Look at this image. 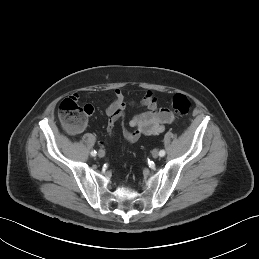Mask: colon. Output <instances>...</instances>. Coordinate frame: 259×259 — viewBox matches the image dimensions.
<instances>
[{"instance_id": "obj_1", "label": "colon", "mask_w": 259, "mask_h": 259, "mask_svg": "<svg viewBox=\"0 0 259 259\" xmlns=\"http://www.w3.org/2000/svg\"><path fill=\"white\" fill-rule=\"evenodd\" d=\"M86 108V105L81 106L75 97L69 96L63 99L59 104V120L66 129L72 132H78L82 130L86 124ZM172 108L177 114L185 115L190 109V101L185 95L176 94L172 99ZM114 122L109 126L111 133L115 131Z\"/></svg>"}]
</instances>
